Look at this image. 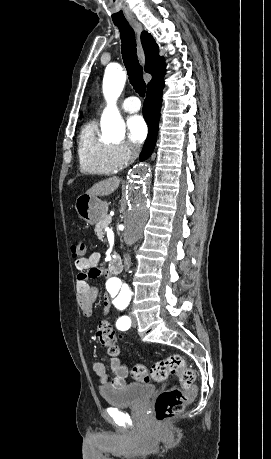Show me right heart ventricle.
Wrapping results in <instances>:
<instances>
[{
    "label": "right heart ventricle",
    "mask_w": 271,
    "mask_h": 459,
    "mask_svg": "<svg viewBox=\"0 0 271 459\" xmlns=\"http://www.w3.org/2000/svg\"><path fill=\"white\" fill-rule=\"evenodd\" d=\"M78 158L85 174H112L122 166L114 156V144L98 135L95 121L86 123L80 132Z\"/></svg>",
    "instance_id": "obj_1"
}]
</instances>
